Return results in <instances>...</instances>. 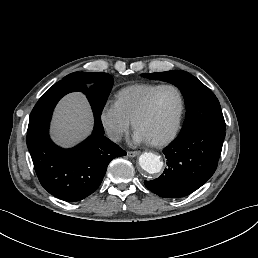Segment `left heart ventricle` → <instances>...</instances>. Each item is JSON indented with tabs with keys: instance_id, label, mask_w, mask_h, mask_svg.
Instances as JSON below:
<instances>
[{
	"instance_id": "b2bd125f",
	"label": "left heart ventricle",
	"mask_w": 258,
	"mask_h": 258,
	"mask_svg": "<svg viewBox=\"0 0 258 258\" xmlns=\"http://www.w3.org/2000/svg\"><path fill=\"white\" fill-rule=\"evenodd\" d=\"M179 111L177 93L170 88L156 93L148 115L141 121L139 132L142 136L161 139L173 131Z\"/></svg>"
}]
</instances>
